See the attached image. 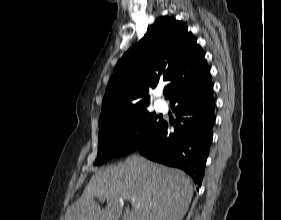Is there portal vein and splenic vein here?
Masks as SVG:
<instances>
[{"instance_id":"1","label":"portal vein and splenic vein","mask_w":281,"mask_h":220,"mask_svg":"<svg viewBox=\"0 0 281 220\" xmlns=\"http://www.w3.org/2000/svg\"><path fill=\"white\" fill-rule=\"evenodd\" d=\"M136 201V199L135 198H132V202L134 203Z\"/></svg>"}]
</instances>
